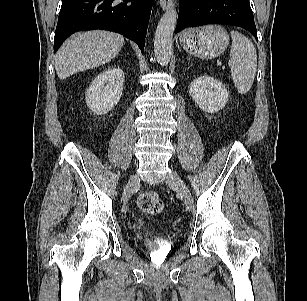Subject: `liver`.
I'll use <instances>...</instances> for the list:
<instances>
[{"label": "liver", "mask_w": 307, "mask_h": 301, "mask_svg": "<svg viewBox=\"0 0 307 301\" xmlns=\"http://www.w3.org/2000/svg\"><path fill=\"white\" fill-rule=\"evenodd\" d=\"M123 44L122 35L109 31L93 30L71 36L56 53L59 79L107 63L118 55Z\"/></svg>", "instance_id": "1"}]
</instances>
